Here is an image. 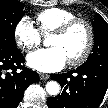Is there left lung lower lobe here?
Listing matches in <instances>:
<instances>
[{"instance_id":"left-lung-lower-lobe-1","label":"left lung lower lobe","mask_w":108,"mask_h":108,"mask_svg":"<svg viewBox=\"0 0 108 108\" xmlns=\"http://www.w3.org/2000/svg\"><path fill=\"white\" fill-rule=\"evenodd\" d=\"M62 93L47 100L48 108H98L108 90V62L94 61L82 64L64 74H52ZM76 92L73 99L68 93Z\"/></svg>"}]
</instances>
